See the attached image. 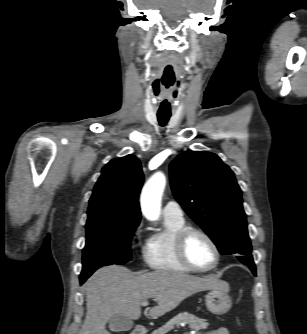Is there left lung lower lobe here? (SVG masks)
<instances>
[{
    "mask_svg": "<svg viewBox=\"0 0 307 334\" xmlns=\"http://www.w3.org/2000/svg\"><path fill=\"white\" fill-rule=\"evenodd\" d=\"M251 271L253 272L254 275H256V270H255V268H251Z\"/></svg>",
    "mask_w": 307,
    "mask_h": 334,
    "instance_id": "left-lung-lower-lobe-1",
    "label": "left lung lower lobe"
}]
</instances>
